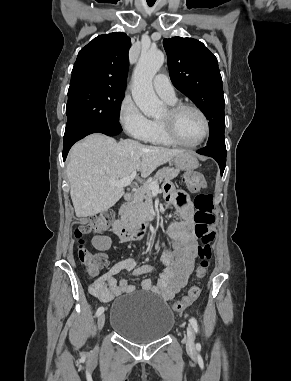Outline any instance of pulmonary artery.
I'll return each mask as SVG.
<instances>
[{
    "label": "pulmonary artery",
    "mask_w": 291,
    "mask_h": 381,
    "mask_svg": "<svg viewBox=\"0 0 291 381\" xmlns=\"http://www.w3.org/2000/svg\"><path fill=\"white\" fill-rule=\"evenodd\" d=\"M153 84L155 91L161 98L166 101H173L176 99L175 89L166 74L156 75Z\"/></svg>",
    "instance_id": "pulmonary-artery-1"
}]
</instances>
